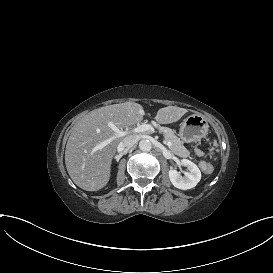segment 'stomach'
<instances>
[{
	"mask_svg": "<svg viewBox=\"0 0 273 273\" xmlns=\"http://www.w3.org/2000/svg\"><path fill=\"white\" fill-rule=\"evenodd\" d=\"M208 131L209 124L206 117L201 114H192L182 122L178 136L183 143H193L205 138Z\"/></svg>",
	"mask_w": 273,
	"mask_h": 273,
	"instance_id": "1",
	"label": "stomach"
}]
</instances>
